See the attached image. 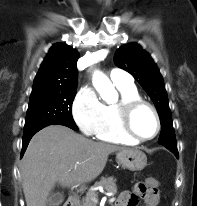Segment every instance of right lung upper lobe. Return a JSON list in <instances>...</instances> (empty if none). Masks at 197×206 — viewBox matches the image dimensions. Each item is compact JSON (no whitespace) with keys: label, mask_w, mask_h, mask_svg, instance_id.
<instances>
[{"label":"right lung upper lobe","mask_w":197,"mask_h":206,"mask_svg":"<svg viewBox=\"0 0 197 206\" xmlns=\"http://www.w3.org/2000/svg\"><path fill=\"white\" fill-rule=\"evenodd\" d=\"M78 57V51L70 46L55 44L42 62L32 90L76 88Z\"/></svg>","instance_id":"1"}]
</instances>
